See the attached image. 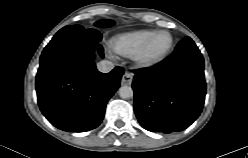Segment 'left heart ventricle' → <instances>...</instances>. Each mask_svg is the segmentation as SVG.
Masks as SVG:
<instances>
[{"mask_svg":"<svg viewBox=\"0 0 248 158\" xmlns=\"http://www.w3.org/2000/svg\"><path fill=\"white\" fill-rule=\"evenodd\" d=\"M169 43V36L167 34H159L154 38L151 44V53H159L164 50Z\"/></svg>","mask_w":248,"mask_h":158,"instance_id":"obj_1","label":"left heart ventricle"}]
</instances>
